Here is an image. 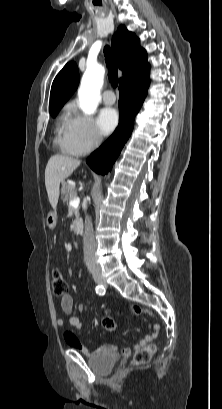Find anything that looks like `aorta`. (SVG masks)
I'll use <instances>...</instances> for the list:
<instances>
[{"label":"aorta","mask_w":222,"mask_h":409,"mask_svg":"<svg viewBox=\"0 0 222 409\" xmlns=\"http://www.w3.org/2000/svg\"><path fill=\"white\" fill-rule=\"evenodd\" d=\"M105 69L101 65L88 66L78 91L79 107L86 115L94 114L101 99Z\"/></svg>","instance_id":"aorta-1"}]
</instances>
